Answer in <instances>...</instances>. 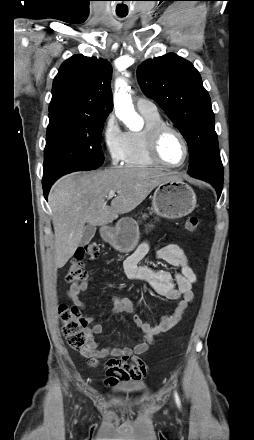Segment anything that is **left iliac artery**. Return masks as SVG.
<instances>
[{
    "label": "left iliac artery",
    "mask_w": 254,
    "mask_h": 440,
    "mask_svg": "<svg viewBox=\"0 0 254 440\" xmlns=\"http://www.w3.org/2000/svg\"><path fill=\"white\" fill-rule=\"evenodd\" d=\"M175 400H176L177 405L180 406V400H179L178 394L176 392H175Z\"/></svg>",
    "instance_id": "44dca946"
}]
</instances>
